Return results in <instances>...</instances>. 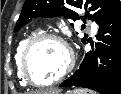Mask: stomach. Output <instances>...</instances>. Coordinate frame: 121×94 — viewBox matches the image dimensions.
Here are the masks:
<instances>
[{"instance_id":"obj_1","label":"stomach","mask_w":121,"mask_h":94,"mask_svg":"<svg viewBox=\"0 0 121 94\" xmlns=\"http://www.w3.org/2000/svg\"><path fill=\"white\" fill-rule=\"evenodd\" d=\"M67 94H88V93L85 90L75 89V90L68 92ZM89 94H92V93H89Z\"/></svg>"}]
</instances>
